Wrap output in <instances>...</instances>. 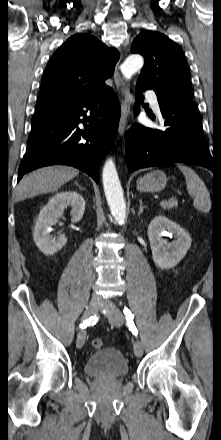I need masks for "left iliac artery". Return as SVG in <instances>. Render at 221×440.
Listing matches in <instances>:
<instances>
[{
    "label": "left iliac artery",
    "instance_id": "obj_1",
    "mask_svg": "<svg viewBox=\"0 0 221 440\" xmlns=\"http://www.w3.org/2000/svg\"><path fill=\"white\" fill-rule=\"evenodd\" d=\"M123 312H124V314L126 316L129 329L132 331V333L135 336H137L138 330H137V328H136V326L134 324V320H133L134 319V315L132 314V312L127 307L124 308Z\"/></svg>",
    "mask_w": 221,
    "mask_h": 440
}]
</instances>
